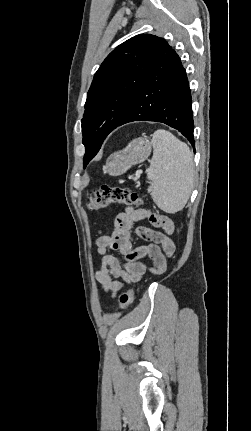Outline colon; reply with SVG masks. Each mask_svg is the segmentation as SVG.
<instances>
[{"label": "colon", "mask_w": 251, "mask_h": 431, "mask_svg": "<svg viewBox=\"0 0 251 431\" xmlns=\"http://www.w3.org/2000/svg\"><path fill=\"white\" fill-rule=\"evenodd\" d=\"M141 203L142 199L137 193L124 187L104 184L89 197L88 206L90 209L99 210L115 204L140 205ZM133 294V289L129 288L120 295L119 305L122 310H126L131 305Z\"/></svg>", "instance_id": "colon-1"}]
</instances>
